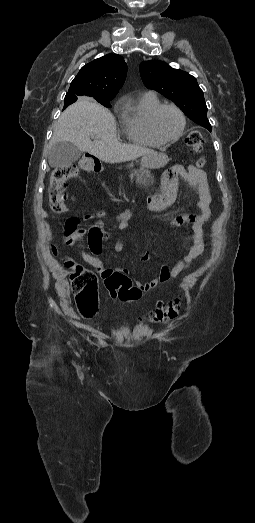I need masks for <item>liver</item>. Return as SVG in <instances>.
<instances>
[{"instance_id":"liver-1","label":"liver","mask_w":255,"mask_h":523,"mask_svg":"<svg viewBox=\"0 0 255 523\" xmlns=\"http://www.w3.org/2000/svg\"><path fill=\"white\" fill-rule=\"evenodd\" d=\"M90 138H94V142ZM56 142H72L81 152H88L107 164L130 162L140 156H144L147 162L154 160L156 168H163L169 162L166 154H158L154 150L133 144H120L114 116L91 98H80L76 104L62 112L49 148Z\"/></svg>"}]
</instances>
